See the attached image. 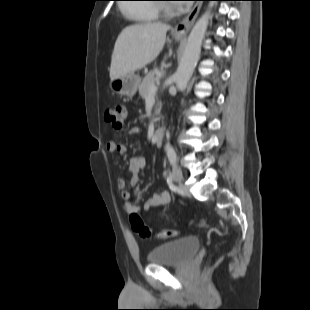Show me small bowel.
Returning <instances> with one entry per match:
<instances>
[{
    "label": "small bowel",
    "mask_w": 310,
    "mask_h": 310,
    "mask_svg": "<svg viewBox=\"0 0 310 310\" xmlns=\"http://www.w3.org/2000/svg\"><path fill=\"white\" fill-rule=\"evenodd\" d=\"M139 132L140 129L138 127H133L129 131L130 134H138ZM106 151L110 154L122 155L125 152V147L119 142L110 140L106 144ZM145 163V158L142 156L132 157L129 162L127 178L121 177L117 181V187L121 191L124 207L128 213H137L140 210V208L135 203H133L129 189L135 187L138 184L139 173L145 167ZM169 202L170 195L168 192L154 194L145 201L143 210L148 211L151 208L164 207L168 205Z\"/></svg>",
    "instance_id": "small-bowel-1"
}]
</instances>
